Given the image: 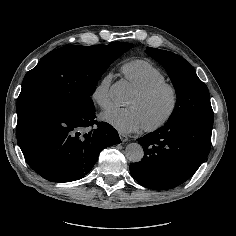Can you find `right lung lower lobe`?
Returning <instances> with one entry per match:
<instances>
[{
	"label": "right lung lower lobe",
	"mask_w": 236,
	"mask_h": 236,
	"mask_svg": "<svg viewBox=\"0 0 236 236\" xmlns=\"http://www.w3.org/2000/svg\"><path fill=\"white\" fill-rule=\"evenodd\" d=\"M16 134L30 167L52 182L83 178L102 149L120 143L110 124L95 120L94 108L40 110L19 121Z\"/></svg>",
	"instance_id": "right-lung-lower-lobe-1"
}]
</instances>
